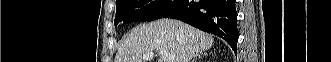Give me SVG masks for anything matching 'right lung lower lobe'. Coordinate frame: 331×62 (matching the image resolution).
Instances as JSON below:
<instances>
[{"label":"right lung lower lobe","instance_id":"1","mask_svg":"<svg viewBox=\"0 0 331 62\" xmlns=\"http://www.w3.org/2000/svg\"><path fill=\"white\" fill-rule=\"evenodd\" d=\"M236 0H180L163 15L222 37L237 54Z\"/></svg>","mask_w":331,"mask_h":62}]
</instances>
